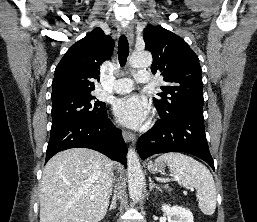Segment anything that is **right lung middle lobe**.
<instances>
[{"label":"right lung middle lobe","mask_w":257,"mask_h":222,"mask_svg":"<svg viewBox=\"0 0 257 222\" xmlns=\"http://www.w3.org/2000/svg\"><path fill=\"white\" fill-rule=\"evenodd\" d=\"M51 114V128L70 121L93 122L106 114V105L92 95L68 97L52 101Z\"/></svg>","instance_id":"right-lung-middle-lobe-1"}]
</instances>
